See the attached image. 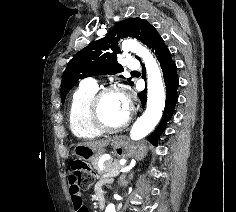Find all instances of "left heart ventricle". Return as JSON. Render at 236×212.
Here are the masks:
<instances>
[{
  "label": "left heart ventricle",
  "instance_id": "1",
  "mask_svg": "<svg viewBox=\"0 0 236 212\" xmlns=\"http://www.w3.org/2000/svg\"><path fill=\"white\" fill-rule=\"evenodd\" d=\"M128 113L125 109L122 94L111 93L105 96L101 102V115L109 126H117L124 121Z\"/></svg>",
  "mask_w": 236,
  "mask_h": 212
}]
</instances>
